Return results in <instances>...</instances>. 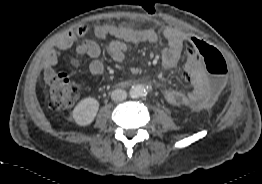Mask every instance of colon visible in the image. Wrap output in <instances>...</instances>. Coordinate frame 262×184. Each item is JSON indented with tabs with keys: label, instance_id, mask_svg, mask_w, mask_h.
I'll list each match as a JSON object with an SVG mask.
<instances>
[{
	"label": "colon",
	"instance_id": "obj_1",
	"mask_svg": "<svg viewBox=\"0 0 262 184\" xmlns=\"http://www.w3.org/2000/svg\"><path fill=\"white\" fill-rule=\"evenodd\" d=\"M198 59L205 67L207 88L211 100L219 97L225 88L228 68L222 54L203 40L193 41ZM78 95L77 84L67 73L53 74L49 79V104L52 109L61 110L70 107Z\"/></svg>",
	"mask_w": 262,
	"mask_h": 184
}]
</instances>
